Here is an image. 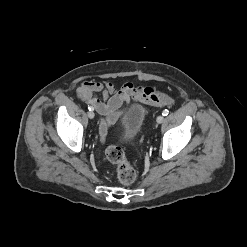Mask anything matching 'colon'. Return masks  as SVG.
Listing matches in <instances>:
<instances>
[{
    "instance_id": "1",
    "label": "colon",
    "mask_w": 247,
    "mask_h": 247,
    "mask_svg": "<svg viewBox=\"0 0 247 247\" xmlns=\"http://www.w3.org/2000/svg\"><path fill=\"white\" fill-rule=\"evenodd\" d=\"M105 158L117 164V176L124 185H130L136 180V171L127 161L123 149L118 145H110L105 151Z\"/></svg>"
}]
</instances>
